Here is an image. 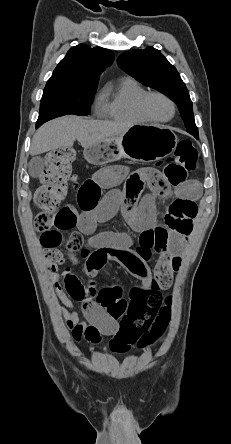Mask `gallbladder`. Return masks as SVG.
Returning a JSON list of instances; mask_svg holds the SVG:
<instances>
[{"instance_id": "bac80fb5", "label": "gallbladder", "mask_w": 231, "mask_h": 444, "mask_svg": "<svg viewBox=\"0 0 231 444\" xmlns=\"http://www.w3.org/2000/svg\"><path fill=\"white\" fill-rule=\"evenodd\" d=\"M44 168L43 160L41 157H34L29 162V173L32 177H38Z\"/></svg>"}]
</instances>
